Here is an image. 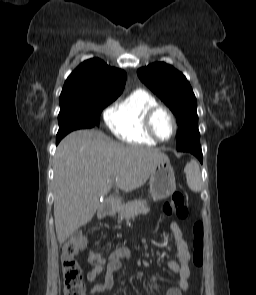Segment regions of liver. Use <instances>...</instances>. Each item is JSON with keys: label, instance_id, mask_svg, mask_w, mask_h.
<instances>
[{"label": "liver", "instance_id": "liver-1", "mask_svg": "<svg viewBox=\"0 0 256 295\" xmlns=\"http://www.w3.org/2000/svg\"><path fill=\"white\" fill-rule=\"evenodd\" d=\"M168 157L156 148L124 145L98 130H78L58 145L54 158V219L64 243L90 222L111 184L130 192L143 186Z\"/></svg>", "mask_w": 256, "mask_h": 295}]
</instances>
